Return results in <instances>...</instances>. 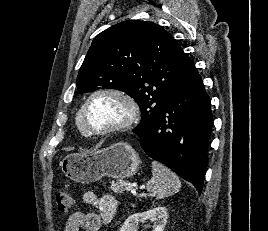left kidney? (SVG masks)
<instances>
[{"label": "left kidney", "mask_w": 268, "mask_h": 231, "mask_svg": "<svg viewBox=\"0 0 268 231\" xmlns=\"http://www.w3.org/2000/svg\"><path fill=\"white\" fill-rule=\"evenodd\" d=\"M167 218V209L163 206H158L145 212L129 216L119 231H137L138 225L147 220L154 222L152 231H163L167 223Z\"/></svg>", "instance_id": "obj_1"}]
</instances>
